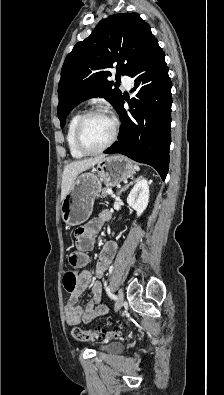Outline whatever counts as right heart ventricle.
<instances>
[{
	"mask_svg": "<svg viewBox=\"0 0 224 395\" xmlns=\"http://www.w3.org/2000/svg\"><path fill=\"white\" fill-rule=\"evenodd\" d=\"M81 112H76L71 116L67 125L66 142L71 156L75 159H80L85 156L75 144V129L76 124L81 117Z\"/></svg>",
	"mask_w": 224,
	"mask_h": 395,
	"instance_id": "1",
	"label": "right heart ventricle"
}]
</instances>
